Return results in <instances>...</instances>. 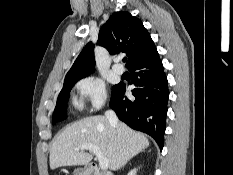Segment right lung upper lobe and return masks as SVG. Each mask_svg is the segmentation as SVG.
Returning <instances> with one entry per match:
<instances>
[{
    "mask_svg": "<svg viewBox=\"0 0 233 175\" xmlns=\"http://www.w3.org/2000/svg\"><path fill=\"white\" fill-rule=\"evenodd\" d=\"M97 44L105 47L110 54L125 52L128 56L127 68L156 51L154 42L142 21L126 11L116 12L110 16L99 31ZM94 67V45L89 42L66 74L65 81L86 77L94 71Z\"/></svg>",
    "mask_w": 233,
    "mask_h": 175,
    "instance_id": "1",
    "label": "right lung upper lobe"
}]
</instances>
